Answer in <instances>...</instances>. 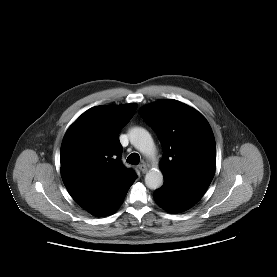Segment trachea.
I'll use <instances>...</instances> for the list:
<instances>
[{
    "label": "trachea",
    "mask_w": 277,
    "mask_h": 277,
    "mask_svg": "<svg viewBox=\"0 0 277 277\" xmlns=\"http://www.w3.org/2000/svg\"><path fill=\"white\" fill-rule=\"evenodd\" d=\"M129 164L138 165L140 162V156L137 153H132L126 160Z\"/></svg>",
    "instance_id": "1"
}]
</instances>
